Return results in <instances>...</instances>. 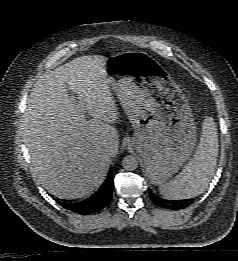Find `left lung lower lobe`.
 <instances>
[{
    "instance_id": "left-lung-lower-lobe-1",
    "label": "left lung lower lobe",
    "mask_w": 238,
    "mask_h": 261,
    "mask_svg": "<svg viewBox=\"0 0 238 261\" xmlns=\"http://www.w3.org/2000/svg\"><path fill=\"white\" fill-rule=\"evenodd\" d=\"M150 194V199L157 204L160 207L166 208V209H183L185 207H187L190 203H174L162 198L157 197L156 195H154L152 192H149Z\"/></svg>"
}]
</instances>
